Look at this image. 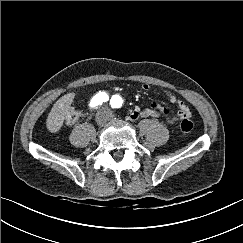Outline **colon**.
I'll list each match as a JSON object with an SVG mask.
<instances>
[{"label": "colon", "instance_id": "colon-1", "mask_svg": "<svg viewBox=\"0 0 243 243\" xmlns=\"http://www.w3.org/2000/svg\"><path fill=\"white\" fill-rule=\"evenodd\" d=\"M81 118H82V113L76 108H71L66 116V123L68 125H74L78 121H80ZM192 128H193V123L188 119L182 120V122L180 123V130L184 134L189 133L192 130Z\"/></svg>", "mask_w": 243, "mask_h": 243}]
</instances>
